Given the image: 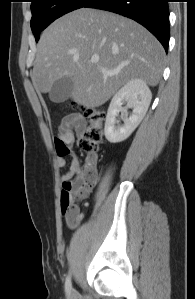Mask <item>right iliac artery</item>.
<instances>
[{"label": "right iliac artery", "instance_id": "right-iliac-artery-1", "mask_svg": "<svg viewBox=\"0 0 195 299\" xmlns=\"http://www.w3.org/2000/svg\"><path fill=\"white\" fill-rule=\"evenodd\" d=\"M71 289H72V285H71V277L70 275H68L66 277V281H65V292H66V295L69 297L70 294H71Z\"/></svg>", "mask_w": 195, "mask_h": 299}]
</instances>
